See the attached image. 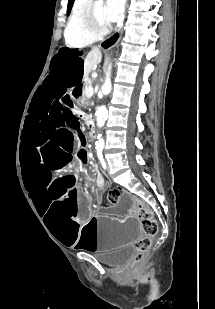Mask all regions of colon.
I'll use <instances>...</instances> for the list:
<instances>
[{"label":"colon","instance_id":"obj_1","mask_svg":"<svg viewBox=\"0 0 215 309\" xmlns=\"http://www.w3.org/2000/svg\"><path fill=\"white\" fill-rule=\"evenodd\" d=\"M119 192L117 190H111L108 193L107 200L110 204L115 205L119 200ZM143 217V230L145 236L138 240L135 245V257L137 259H142L146 256L148 250L150 249L151 245V238L152 236L156 235L158 232V226L155 220L150 215L148 209H143L141 212Z\"/></svg>","mask_w":215,"mask_h":309}]
</instances>
